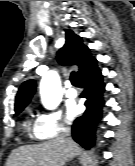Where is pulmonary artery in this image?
I'll list each match as a JSON object with an SVG mask.
<instances>
[{
  "instance_id": "1",
  "label": "pulmonary artery",
  "mask_w": 135,
  "mask_h": 166,
  "mask_svg": "<svg viewBox=\"0 0 135 166\" xmlns=\"http://www.w3.org/2000/svg\"><path fill=\"white\" fill-rule=\"evenodd\" d=\"M66 96L68 98H75L77 96V92L73 87L68 86V88L66 90Z\"/></svg>"
}]
</instances>
